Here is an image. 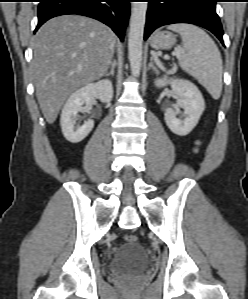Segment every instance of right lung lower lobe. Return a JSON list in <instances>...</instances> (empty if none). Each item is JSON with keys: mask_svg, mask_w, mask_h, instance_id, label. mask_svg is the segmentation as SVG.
<instances>
[{"mask_svg": "<svg viewBox=\"0 0 248 299\" xmlns=\"http://www.w3.org/2000/svg\"><path fill=\"white\" fill-rule=\"evenodd\" d=\"M130 0H40L38 25L35 31L50 18L79 14L97 19L112 28L123 41L129 18Z\"/></svg>", "mask_w": 248, "mask_h": 299, "instance_id": "98d812e1", "label": "right lung lower lobe"}]
</instances>
